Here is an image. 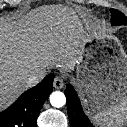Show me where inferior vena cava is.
<instances>
[{
    "label": "inferior vena cava",
    "mask_w": 127,
    "mask_h": 127,
    "mask_svg": "<svg viewBox=\"0 0 127 127\" xmlns=\"http://www.w3.org/2000/svg\"><path fill=\"white\" fill-rule=\"evenodd\" d=\"M46 76V70H39L32 74L28 79V86L32 87L39 83Z\"/></svg>",
    "instance_id": "1"
}]
</instances>
